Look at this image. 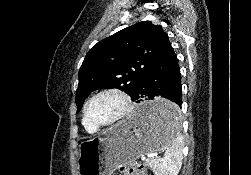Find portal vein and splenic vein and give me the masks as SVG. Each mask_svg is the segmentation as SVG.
<instances>
[{
	"instance_id": "1",
	"label": "portal vein and splenic vein",
	"mask_w": 251,
	"mask_h": 175,
	"mask_svg": "<svg viewBox=\"0 0 251 175\" xmlns=\"http://www.w3.org/2000/svg\"><path fill=\"white\" fill-rule=\"evenodd\" d=\"M156 156L163 157L162 151H152L151 153H145L144 155L140 156L142 162H145L147 158H155Z\"/></svg>"
}]
</instances>
